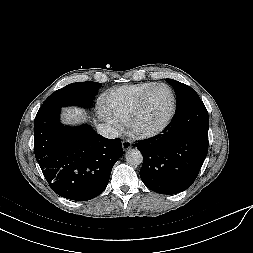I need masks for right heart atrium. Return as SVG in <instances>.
<instances>
[{
  "instance_id": "d8ad5b80",
  "label": "right heart atrium",
  "mask_w": 253,
  "mask_h": 253,
  "mask_svg": "<svg viewBox=\"0 0 253 253\" xmlns=\"http://www.w3.org/2000/svg\"><path fill=\"white\" fill-rule=\"evenodd\" d=\"M99 114L103 118V120H105L112 127L116 129L121 128V124L117 120H115L104 107L99 108Z\"/></svg>"
}]
</instances>
